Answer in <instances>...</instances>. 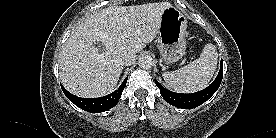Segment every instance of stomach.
Wrapping results in <instances>:
<instances>
[{"label":"stomach","mask_w":276,"mask_h":138,"mask_svg":"<svg viewBox=\"0 0 276 138\" xmlns=\"http://www.w3.org/2000/svg\"><path fill=\"white\" fill-rule=\"evenodd\" d=\"M187 19L176 7L170 5L161 14L158 47L165 67L175 64L185 54Z\"/></svg>","instance_id":"1"}]
</instances>
